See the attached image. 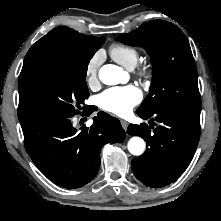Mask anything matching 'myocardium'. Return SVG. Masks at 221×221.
Returning <instances> with one entry per match:
<instances>
[{
  "instance_id": "1",
  "label": "myocardium",
  "mask_w": 221,
  "mask_h": 221,
  "mask_svg": "<svg viewBox=\"0 0 221 221\" xmlns=\"http://www.w3.org/2000/svg\"><path fill=\"white\" fill-rule=\"evenodd\" d=\"M137 74L142 78H148L150 75V68L146 65L138 67Z\"/></svg>"
}]
</instances>
